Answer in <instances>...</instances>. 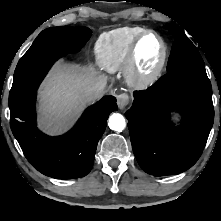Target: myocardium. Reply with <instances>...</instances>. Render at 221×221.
I'll return each instance as SVG.
<instances>
[{
	"instance_id": "1",
	"label": "myocardium",
	"mask_w": 221,
	"mask_h": 221,
	"mask_svg": "<svg viewBox=\"0 0 221 221\" xmlns=\"http://www.w3.org/2000/svg\"><path fill=\"white\" fill-rule=\"evenodd\" d=\"M148 35H154L158 38V40L161 43L162 51L157 65L150 72L143 73L140 70L138 64V50L142 40ZM167 55H168V48L164 38L157 31L146 29L140 35L137 36V38L134 40L131 46L127 65L125 67L128 81L133 86L138 88H146L152 85L161 75L164 66L166 64Z\"/></svg>"
}]
</instances>
